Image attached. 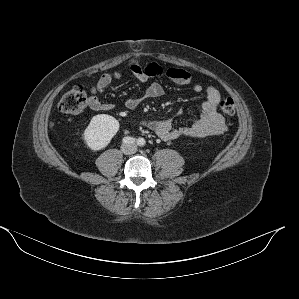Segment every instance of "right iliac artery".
I'll use <instances>...</instances> for the list:
<instances>
[{"mask_svg":"<svg viewBox=\"0 0 299 299\" xmlns=\"http://www.w3.org/2000/svg\"><path fill=\"white\" fill-rule=\"evenodd\" d=\"M135 141H136V139L133 137H130V136L123 138V143H125V144H131V143H134Z\"/></svg>","mask_w":299,"mask_h":299,"instance_id":"obj_1","label":"right iliac artery"}]
</instances>
